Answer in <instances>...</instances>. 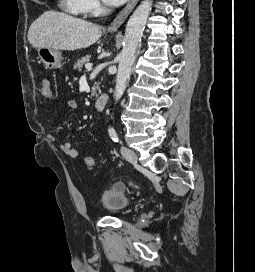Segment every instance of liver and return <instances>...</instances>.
Wrapping results in <instances>:
<instances>
[{
	"label": "liver",
	"mask_w": 255,
	"mask_h": 272,
	"mask_svg": "<svg viewBox=\"0 0 255 272\" xmlns=\"http://www.w3.org/2000/svg\"><path fill=\"white\" fill-rule=\"evenodd\" d=\"M102 35V27L65 13L46 11L28 30L34 48L74 51L93 45Z\"/></svg>",
	"instance_id": "1"
}]
</instances>
